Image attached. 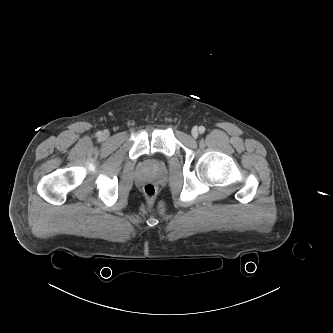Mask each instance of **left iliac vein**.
I'll return each mask as SVG.
<instances>
[{"instance_id":"4c4485c4","label":"left iliac vein","mask_w":333,"mask_h":333,"mask_svg":"<svg viewBox=\"0 0 333 333\" xmlns=\"http://www.w3.org/2000/svg\"><path fill=\"white\" fill-rule=\"evenodd\" d=\"M198 135H199L198 128H197V127H194V128L192 129V136H193L194 138H197Z\"/></svg>"}]
</instances>
